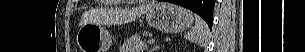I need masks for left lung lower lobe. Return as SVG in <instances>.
Returning <instances> with one entry per match:
<instances>
[{
    "label": "left lung lower lobe",
    "mask_w": 305,
    "mask_h": 52,
    "mask_svg": "<svg viewBox=\"0 0 305 52\" xmlns=\"http://www.w3.org/2000/svg\"><path fill=\"white\" fill-rule=\"evenodd\" d=\"M167 1L189 8L203 18L205 15L210 16L213 14V9L216 0H167ZM207 24L210 27V29H212V24L210 23Z\"/></svg>",
    "instance_id": "left-lung-lower-lobe-1"
}]
</instances>
